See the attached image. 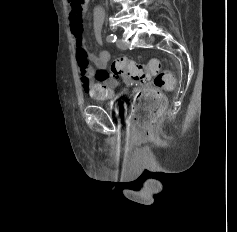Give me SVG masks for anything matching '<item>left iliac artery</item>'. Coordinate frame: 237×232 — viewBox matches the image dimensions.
<instances>
[{
	"label": "left iliac artery",
	"mask_w": 237,
	"mask_h": 232,
	"mask_svg": "<svg viewBox=\"0 0 237 232\" xmlns=\"http://www.w3.org/2000/svg\"><path fill=\"white\" fill-rule=\"evenodd\" d=\"M117 39L115 34H109L106 38L107 42H115Z\"/></svg>",
	"instance_id": "left-iliac-artery-1"
}]
</instances>
